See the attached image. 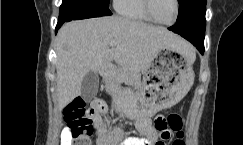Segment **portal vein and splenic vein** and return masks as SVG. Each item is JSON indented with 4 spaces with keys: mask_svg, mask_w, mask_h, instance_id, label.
<instances>
[{
    "mask_svg": "<svg viewBox=\"0 0 243 145\" xmlns=\"http://www.w3.org/2000/svg\"><path fill=\"white\" fill-rule=\"evenodd\" d=\"M116 45V42L115 41H112V42H110V46H115Z\"/></svg>",
    "mask_w": 243,
    "mask_h": 145,
    "instance_id": "18ae733b",
    "label": "portal vein and splenic vein"
}]
</instances>
